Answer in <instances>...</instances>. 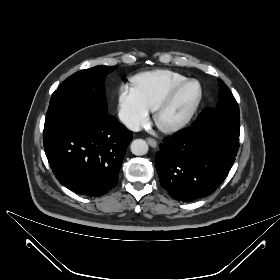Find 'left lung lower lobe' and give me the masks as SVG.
Returning a JSON list of instances; mask_svg holds the SVG:
<instances>
[{"label":"left lung lower lobe","mask_w":280,"mask_h":280,"mask_svg":"<svg viewBox=\"0 0 280 280\" xmlns=\"http://www.w3.org/2000/svg\"><path fill=\"white\" fill-rule=\"evenodd\" d=\"M238 149L239 139L194 122L160 144L155 159L160 184L182 202L208 196L225 180Z\"/></svg>","instance_id":"obj_1"}]
</instances>
